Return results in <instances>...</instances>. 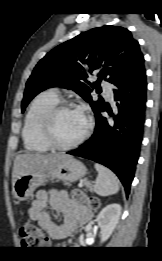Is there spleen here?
Wrapping results in <instances>:
<instances>
[{"label": "spleen", "instance_id": "obj_1", "mask_svg": "<svg viewBox=\"0 0 162 261\" xmlns=\"http://www.w3.org/2000/svg\"><path fill=\"white\" fill-rule=\"evenodd\" d=\"M98 176L94 185V192L99 196H109L119 191L117 176L103 165L95 164Z\"/></svg>", "mask_w": 162, "mask_h": 261}]
</instances>
